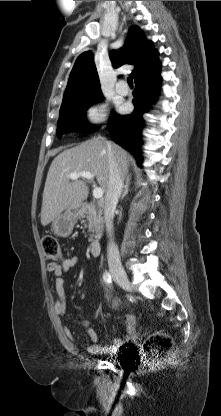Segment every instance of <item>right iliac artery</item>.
Masks as SVG:
<instances>
[{
  "mask_svg": "<svg viewBox=\"0 0 221 416\" xmlns=\"http://www.w3.org/2000/svg\"><path fill=\"white\" fill-rule=\"evenodd\" d=\"M103 280H104V282L108 285V286H111V274L109 273V272H105L104 274H103Z\"/></svg>",
  "mask_w": 221,
  "mask_h": 416,
  "instance_id": "1",
  "label": "right iliac artery"
}]
</instances>
